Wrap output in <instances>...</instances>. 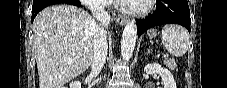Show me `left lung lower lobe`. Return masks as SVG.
Returning <instances> with one entry per match:
<instances>
[{
  "label": "left lung lower lobe",
  "mask_w": 227,
  "mask_h": 88,
  "mask_svg": "<svg viewBox=\"0 0 227 88\" xmlns=\"http://www.w3.org/2000/svg\"><path fill=\"white\" fill-rule=\"evenodd\" d=\"M190 10L187 0H158L156 10L146 19L136 20L138 36L149 28L163 24H180L190 32Z\"/></svg>",
  "instance_id": "left-lung-lower-lobe-1"
}]
</instances>
